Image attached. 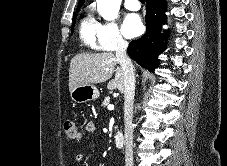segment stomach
<instances>
[{
	"label": "stomach",
	"instance_id": "stomach-1",
	"mask_svg": "<svg viewBox=\"0 0 227 166\" xmlns=\"http://www.w3.org/2000/svg\"><path fill=\"white\" fill-rule=\"evenodd\" d=\"M99 91L94 85H82L76 87L70 92L72 101L76 103H84L91 100H96L99 97Z\"/></svg>",
	"mask_w": 227,
	"mask_h": 166
}]
</instances>
